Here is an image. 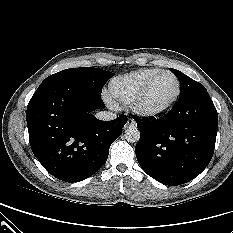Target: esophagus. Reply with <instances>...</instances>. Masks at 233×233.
<instances>
[{"mask_svg": "<svg viewBox=\"0 0 233 233\" xmlns=\"http://www.w3.org/2000/svg\"><path fill=\"white\" fill-rule=\"evenodd\" d=\"M134 126H136V122L129 118L125 125V128L134 127Z\"/></svg>", "mask_w": 233, "mask_h": 233, "instance_id": "obj_1", "label": "esophagus"}]
</instances>
